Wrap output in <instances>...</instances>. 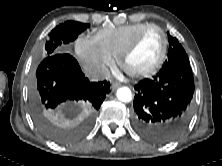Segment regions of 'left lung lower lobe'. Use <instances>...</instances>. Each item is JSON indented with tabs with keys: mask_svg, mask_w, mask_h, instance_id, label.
<instances>
[{
	"mask_svg": "<svg viewBox=\"0 0 222 166\" xmlns=\"http://www.w3.org/2000/svg\"><path fill=\"white\" fill-rule=\"evenodd\" d=\"M135 128L146 139L168 143L176 139L190 119L194 78L190 64L164 66L153 79L135 85Z\"/></svg>",
	"mask_w": 222,
	"mask_h": 166,
	"instance_id": "1",
	"label": "left lung lower lobe"
}]
</instances>
